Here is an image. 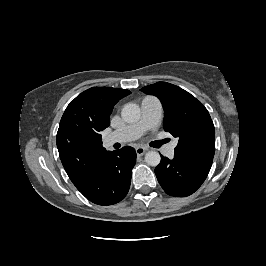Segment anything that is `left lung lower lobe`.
I'll return each instance as SVG.
<instances>
[{
  "label": "left lung lower lobe",
  "mask_w": 266,
  "mask_h": 266,
  "mask_svg": "<svg viewBox=\"0 0 266 266\" xmlns=\"http://www.w3.org/2000/svg\"><path fill=\"white\" fill-rule=\"evenodd\" d=\"M213 159L175 155L172 160L161 156L155 168L156 177L164 191L175 197L194 193L206 179Z\"/></svg>",
  "instance_id": "obj_1"
}]
</instances>
